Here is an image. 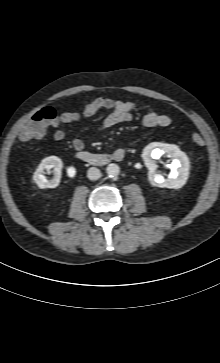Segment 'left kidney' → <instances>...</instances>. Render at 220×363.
<instances>
[{
	"label": "left kidney",
	"mask_w": 220,
	"mask_h": 363,
	"mask_svg": "<svg viewBox=\"0 0 220 363\" xmlns=\"http://www.w3.org/2000/svg\"><path fill=\"white\" fill-rule=\"evenodd\" d=\"M165 153L172 158L171 172L166 179L157 174L155 163V159H159ZM142 158L149 170L148 179L152 186L179 189L186 183L190 169L189 159L178 146L153 142L144 148Z\"/></svg>",
	"instance_id": "left-kidney-1"
}]
</instances>
